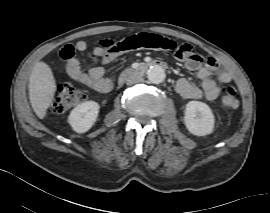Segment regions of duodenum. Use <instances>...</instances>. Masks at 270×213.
Returning <instances> with one entry per match:
<instances>
[{
  "label": "duodenum",
  "mask_w": 270,
  "mask_h": 213,
  "mask_svg": "<svg viewBox=\"0 0 270 213\" xmlns=\"http://www.w3.org/2000/svg\"><path fill=\"white\" fill-rule=\"evenodd\" d=\"M150 65H151L150 63L142 64V65H140L134 72H135L136 74H142V73H144L145 71L148 70V68L150 67ZM154 65L157 66V67H161V68L164 67V64L161 63V62H155ZM126 74H127V73H124V74L121 76L120 82H122V80L124 79V77L126 76Z\"/></svg>",
  "instance_id": "1"
}]
</instances>
